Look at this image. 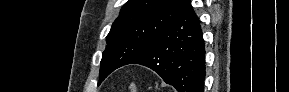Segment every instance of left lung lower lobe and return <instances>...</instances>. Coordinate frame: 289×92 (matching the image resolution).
<instances>
[{
    "mask_svg": "<svg viewBox=\"0 0 289 92\" xmlns=\"http://www.w3.org/2000/svg\"><path fill=\"white\" fill-rule=\"evenodd\" d=\"M127 64L151 68L178 92H204L205 44L191 6Z\"/></svg>",
    "mask_w": 289,
    "mask_h": 92,
    "instance_id": "1",
    "label": "left lung lower lobe"
}]
</instances>
